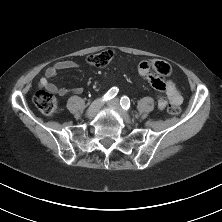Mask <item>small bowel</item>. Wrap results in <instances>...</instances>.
<instances>
[{
  "instance_id": "1",
  "label": "small bowel",
  "mask_w": 222,
  "mask_h": 222,
  "mask_svg": "<svg viewBox=\"0 0 222 222\" xmlns=\"http://www.w3.org/2000/svg\"><path fill=\"white\" fill-rule=\"evenodd\" d=\"M146 62H141L138 66V73L144 80L148 81L156 90L164 92L166 97L158 98V108L163 110L166 108L167 104H173L175 106H180L182 103V95L178 87L172 81L165 80L163 77L149 70L150 66L146 65ZM79 64L72 60H63L54 63L53 65L47 67L45 70V76L39 81V85L45 88L53 94L60 96H65L70 93L79 94L82 92L81 88L67 89L66 87L55 85L51 79L57 76L58 72L65 69H76Z\"/></svg>"
}]
</instances>
